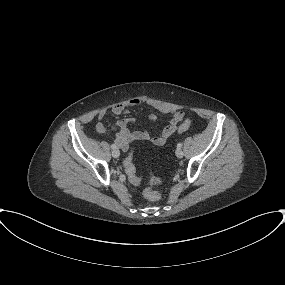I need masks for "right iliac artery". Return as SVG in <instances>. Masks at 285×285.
I'll list each match as a JSON object with an SVG mask.
<instances>
[{"mask_svg": "<svg viewBox=\"0 0 285 285\" xmlns=\"http://www.w3.org/2000/svg\"><path fill=\"white\" fill-rule=\"evenodd\" d=\"M111 148H112V149H116L117 147H116L115 144H112V145H111Z\"/></svg>", "mask_w": 285, "mask_h": 285, "instance_id": "right-iliac-artery-1", "label": "right iliac artery"}]
</instances>
